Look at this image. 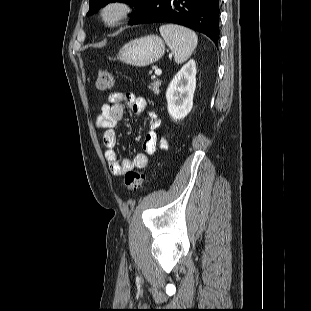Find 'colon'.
Masks as SVG:
<instances>
[{
  "mask_svg": "<svg viewBox=\"0 0 311 311\" xmlns=\"http://www.w3.org/2000/svg\"><path fill=\"white\" fill-rule=\"evenodd\" d=\"M114 84L113 73L107 69L102 68L98 71L96 87L100 91H108ZM147 175L146 171L130 170L125 175V186L129 192H135L143 183Z\"/></svg>",
  "mask_w": 311,
  "mask_h": 311,
  "instance_id": "obj_1",
  "label": "colon"
}]
</instances>
